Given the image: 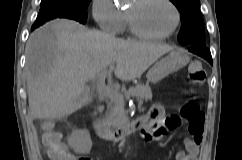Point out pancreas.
Listing matches in <instances>:
<instances>
[{"label": "pancreas", "instance_id": "1", "mask_svg": "<svg viewBox=\"0 0 242 160\" xmlns=\"http://www.w3.org/2000/svg\"><path fill=\"white\" fill-rule=\"evenodd\" d=\"M130 96L136 97L140 103L148 101L152 98V92L149 85L138 84L131 87L126 95H119L118 99H111L109 103V112L105 117V121L109 126L120 127L128 122L124 110V98Z\"/></svg>", "mask_w": 242, "mask_h": 160}]
</instances>
